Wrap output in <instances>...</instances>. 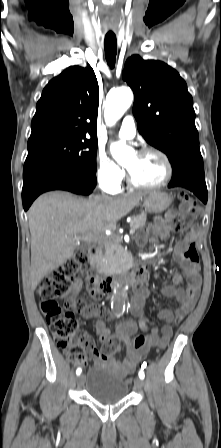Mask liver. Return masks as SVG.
I'll use <instances>...</instances> for the list:
<instances>
[{
	"label": "liver",
	"instance_id": "liver-1",
	"mask_svg": "<svg viewBox=\"0 0 221 448\" xmlns=\"http://www.w3.org/2000/svg\"><path fill=\"white\" fill-rule=\"evenodd\" d=\"M146 194L81 199L55 191L39 196L28 211L32 288L73 256L77 241L89 233L101 236L114 229Z\"/></svg>",
	"mask_w": 221,
	"mask_h": 448
}]
</instances>
